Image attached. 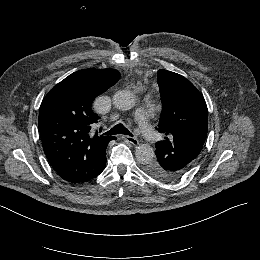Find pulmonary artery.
<instances>
[{"mask_svg":"<svg viewBox=\"0 0 260 260\" xmlns=\"http://www.w3.org/2000/svg\"><path fill=\"white\" fill-rule=\"evenodd\" d=\"M150 113V106L146 102H141L136 107L132 120L139 124L142 137L150 143H155L159 139V134L154 130L150 119L146 118Z\"/></svg>","mask_w":260,"mask_h":260,"instance_id":"1","label":"pulmonary artery"}]
</instances>
